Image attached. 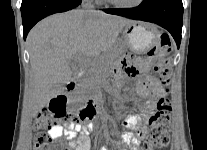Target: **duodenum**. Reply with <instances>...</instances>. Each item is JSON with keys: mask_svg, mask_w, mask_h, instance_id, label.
I'll return each mask as SVG.
<instances>
[{"mask_svg": "<svg viewBox=\"0 0 207 150\" xmlns=\"http://www.w3.org/2000/svg\"><path fill=\"white\" fill-rule=\"evenodd\" d=\"M78 88V83L77 81H71L68 85H67V90L68 91H74ZM95 100H91L89 101L82 109L81 112L84 114L87 113H95Z\"/></svg>", "mask_w": 207, "mask_h": 150, "instance_id": "1", "label": "duodenum"}]
</instances>
